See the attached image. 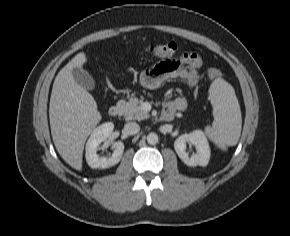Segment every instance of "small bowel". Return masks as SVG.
<instances>
[{
	"instance_id": "obj_1",
	"label": "small bowel",
	"mask_w": 290,
	"mask_h": 236,
	"mask_svg": "<svg viewBox=\"0 0 290 236\" xmlns=\"http://www.w3.org/2000/svg\"><path fill=\"white\" fill-rule=\"evenodd\" d=\"M202 67L200 56L194 52H188L175 60H166L157 63L153 67L144 70L139 75V85L147 89H157L165 81L180 79L189 86L194 87L199 81V70ZM187 100L183 96L167 100L163 110H184Z\"/></svg>"
}]
</instances>
